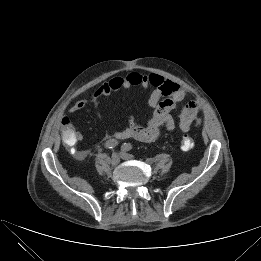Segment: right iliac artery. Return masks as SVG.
<instances>
[{"mask_svg": "<svg viewBox=\"0 0 261 261\" xmlns=\"http://www.w3.org/2000/svg\"><path fill=\"white\" fill-rule=\"evenodd\" d=\"M117 145H118V141H117V140H115V139H110V140L106 141V143H105L104 146H105L106 149H113V148H115Z\"/></svg>", "mask_w": 261, "mask_h": 261, "instance_id": "82829eb1", "label": "right iliac artery"}]
</instances>
